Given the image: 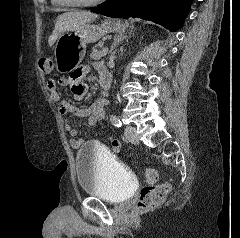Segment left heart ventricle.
I'll use <instances>...</instances> for the list:
<instances>
[{"instance_id":"obj_1","label":"left heart ventricle","mask_w":240,"mask_h":238,"mask_svg":"<svg viewBox=\"0 0 240 238\" xmlns=\"http://www.w3.org/2000/svg\"><path fill=\"white\" fill-rule=\"evenodd\" d=\"M68 1L79 2V3H86V2L93 1V0H68Z\"/></svg>"}]
</instances>
